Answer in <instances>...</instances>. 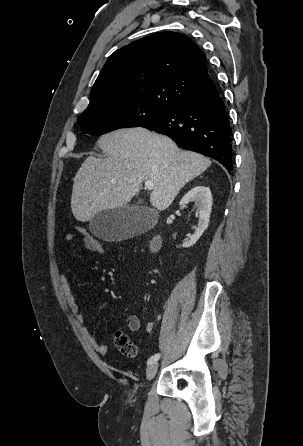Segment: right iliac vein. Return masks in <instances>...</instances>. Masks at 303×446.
Masks as SVG:
<instances>
[{"instance_id":"63e3f726","label":"right iliac vein","mask_w":303,"mask_h":446,"mask_svg":"<svg viewBox=\"0 0 303 446\" xmlns=\"http://www.w3.org/2000/svg\"><path fill=\"white\" fill-rule=\"evenodd\" d=\"M158 370V363L154 362L150 364L146 369V377L148 380H151L154 378Z\"/></svg>"}]
</instances>
